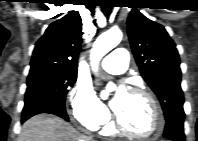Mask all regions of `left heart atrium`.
<instances>
[{
  "label": "left heart atrium",
  "mask_w": 198,
  "mask_h": 141,
  "mask_svg": "<svg viewBox=\"0 0 198 141\" xmlns=\"http://www.w3.org/2000/svg\"><path fill=\"white\" fill-rule=\"evenodd\" d=\"M129 92L125 86H120L111 102L112 108L117 111L122 102L128 97Z\"/></svg>",
  "instance_id": "39dd6f15"
}]
</instances>
